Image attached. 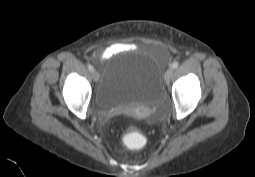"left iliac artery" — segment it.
Segmentation results:
<instances>
[{
  "instance_id": "left-iliac-artery-1",
  "label": "left iliac artery",
  "mask_w": 255,
  "mask_h": 177,
  "mask_svg": "<svg viewBox=\"0 0 255 177\" xmlns=\"http://www.w3.org/2000/svg\"><path fill=\"white\" fill-rule=\"evenodd\" d=\"M178 66H179V63L178 62H174L171 67L173 69H176Z\"/></svg>"
}]
</instances>
